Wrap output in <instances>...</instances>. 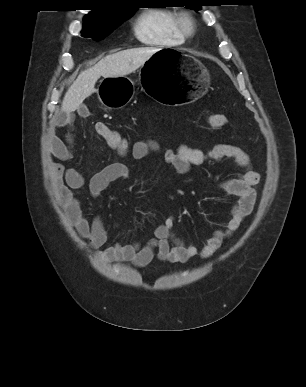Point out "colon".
I'll use <instances>...</instances> for the list:
<instances>
[{"instance_id": "obj_1", "label": "colon", "mask_w": 306, "mask_h": 387, "mask_svg": "<svg viewBox=\"0 0 306 387\" xmlns=\"http://www.w3.org/2000/svg\"><path fill=\"white\" fill-rule=\"evenodd\" d=\"M207 123L213 129H219L226 123V117L223 114L211 113L207 116ZM96 133L102 138L110 147L121 154H127L130 151L127 141L108 124L98 122L95 125Z\"/></svg>"}]
</instances>
